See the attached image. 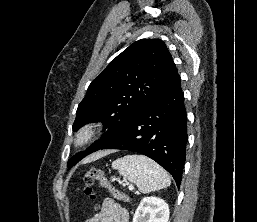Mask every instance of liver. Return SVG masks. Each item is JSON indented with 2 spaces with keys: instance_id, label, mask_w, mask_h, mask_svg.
Here are the masks:
<instances>
[{
  "instance_id": "1",
  "label": "liver",
  "mask_w": 257,
  "mask_h": 222,
  "mask_svg": "<svg viewBox=\"0 0 257 222\" xmlns=\"http://www.w3.org/2000/svg\"><path fill=\"white\" fill-rule=\"evenodd\" d=\"M106 153H108V152H105V153L104 152H100V153L94 154L91 157L87 158L84 162L86 163V162H90L92 160H95V159L99 158L100 156H102V155H104Z\"/></svg>"
}]
</instances>
